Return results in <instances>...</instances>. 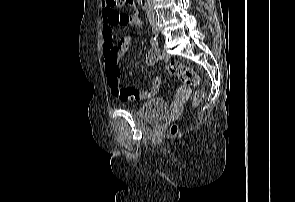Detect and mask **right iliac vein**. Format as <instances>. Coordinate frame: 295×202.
I'll return each instance as SVG.
<instances>
[{
	"instance_id": "1",
	"label": "right iliac vein",
	"mask_w": 295,
	"mask_h": 202,
	"mask_svg": "<svg viewBox=\"0 0 295 202\" xmlns=\"http://www.w3.org/2000/svg\"><path fill=\"white\" fill-rule=\"evenodd\" d=\"M152 30H153L155 35H159L160 29H159L158 25L155 22L152 23Z\"/></svg>"
}]
</instances>
